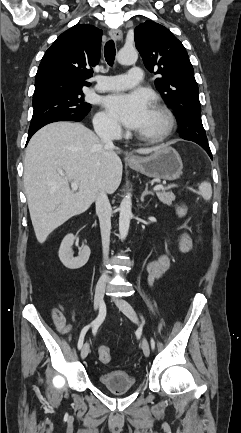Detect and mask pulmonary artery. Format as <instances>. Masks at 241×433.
Listing matches in <instances>:
<instances>
[{
  "label": "pulmonary artery",
  "instance_id": "e3ab8cb5",
  "mask_svg": "<svg viewBox=\"0 0 241 433\" xmlns=\"http://www.w3.org/2000/svg\"><path fill=\"white\" fill-rule=\"evenodd\" d=\"M142 80L141 67L132 66L127 74L101 76L95 88L99 91L126 90L140 84Z\"/></svg>",
  "mask_w": 241,
  "mask_h": 433
}]
</instances>
